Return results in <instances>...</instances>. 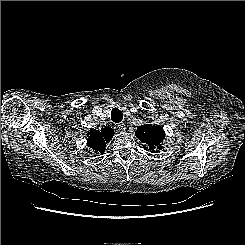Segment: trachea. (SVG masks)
<instances>
[{
  "label": "trachea",
  "instance_id": "3493384b",
  "mask_svg": "<svg viewBox=\"0 0 245 245\" xmlns=\"http://www.w3.org/2000/svg\"><path fill=\"white\" fill-rule=\"evenodd\" d=\"M111 119L112 121L119 123L123 119V114L118 108H113L111 111Z\"/></svg>",
  "mask_w": 245,
  "mask_h": 245
}]
</instances>
